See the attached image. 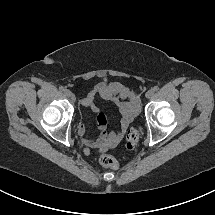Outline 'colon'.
I'll list each match as a JSON object with an SVG mask.
<instances>
[{"mask_svg": "<svg viewBox=\"0 0 215 215\" xmlns=\"http://www.w3.org/2000/svg\"><path fill=\"white\" fill-rule=\"evenodd\" d=\"M139 137H140V131L137 127H133L128 131L126 136V143L124 146L127 152H131L135 149L138 143ZM99 162L102 166L112 170H117L119 168L118 161L109 154H102L99 157Z\"/></svg>", "mask_w": 215, "mask_h": 215, "instance_id": "1", "label": "colon"}]
</instances>
